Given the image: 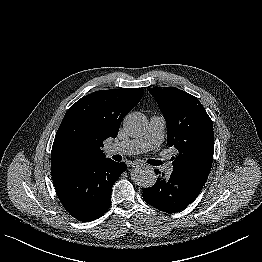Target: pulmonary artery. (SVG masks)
<instances>
[{"label": "pulmonary artery", "mask_w": 262, "mask_h": 262, "mask_svg": "<svg viewBox=\"0 0 262 262\" xmlns=\"http://www.w3.org/2000/svg\"><path fill=\"white\" fill-rule=\"evenodd\" d=\"M165 119L162 116L154 115L150 118L149 128L145 136L138 139L116 142L111 145L110 153L134 155L153 150L160 146L164 137ZM166 175L173 171L171 163L163 167Z\"/></svg>", "instance_id": "obj_1"}]
</instances>
